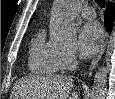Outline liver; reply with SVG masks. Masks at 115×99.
I'll return each instance as SVG.
<instances>
[{
    "label": "liver",
    "mask_w": 115,
    "mask_h": 99,
    "mask_svg": "<svg viewBox=\"0 0 115 99\" xmlns=\"http://www.w3.org/2000/svg\"><path fill=\"white\" fill-rule=\"evenodd\" d=\"M72 87L73 79L70 76H30L15 83L13 97L15 99H79L77 92L71 93Z\"/></svg>",
    "instance_id": "6515ba94"
}]
</instances>
